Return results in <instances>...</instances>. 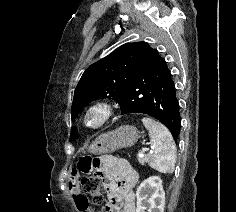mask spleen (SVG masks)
Segmentation results:
<instances>
[{"label": "spleen", "mask_w": 236, "mask_h": 212, "mask_svg": "<svg viewBox=\"0 0 236 212\" xmlns=\"http://www.w3.org/2000/svg\"><path fill=\"white\" fill-rule=\"evenodd\" d=\"M154 154L150 166L161 173H172L176 163V147L170 131L160 122L144 117Z\"/></svg>", "instance_id": "obj_1"}]
</instances>
